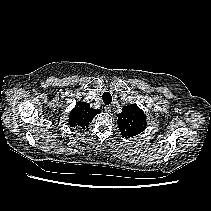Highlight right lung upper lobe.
Masks as SVG:
<instances>
[{
    "label": "right lung upper lobe",
    "mask_w": 211,
    "mask_h": 211,
    "mask_svg": "<svg viewBox=\"0 0 211 211\" xmlns=\"http://www.w3.org/2000/svg\"><path fill=\"white\" fill-rule=\"evenodd\" d=\"M99 113V109L95 110L90 107V104L78 101L69 115V125L84 129Z\"/></svg>",
    "instance_id": "obj_1"
}]
</instances>
